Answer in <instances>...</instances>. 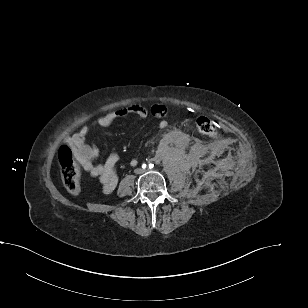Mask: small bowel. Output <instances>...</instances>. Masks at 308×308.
Listing matches in <instances>:
<instances>
[{
	"mask_svg": "<svg viewBox=\"0 0 308 308\" xmlns=\"http://www.w3.org/2000/svg\"><path fill=\"white\" fill-rule=\"evenodd\" d=\"M149 114H152L157 118L164 119L167 117L168 112L166 107L160 104H154L149 108L140 104H134L106 113L105 115L95 119L92 124L105 127L109 126L112 122L119 118H124L131 115L145 118ZM166 125L167 123L165 120H162L159 124L160 128H165ZM88 133L89 126L84 125L78 132L71 137H68L65 140V143L72 148L76 159L82 165L83 169L91 177L98 179L106 192H112L118 183L117 164L119 162V156L117 153H111L103 164H94L93 161L98 157L99 150L95 145L87 142L86 138ZM187 140L188 136L184 132L175 130L164 134L160 145L162 147H166L171 144L183 146ZM136 163V160L131 161L132 165H135Z\"/></svg>",
	"mask_w": 308,
	"mask_h": 308,
	"instance_id": "obj_1",
	"label": "small bowel"
}]
</instances>
